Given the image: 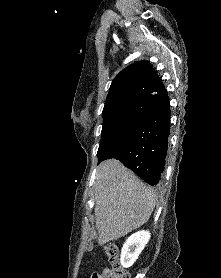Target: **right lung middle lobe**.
Listing matches in <instances>:
<instances>
[{
  "label": "right lung middle lobe",
  "instance_id": "right-lung-middle-lobe-1",
  "mask_svg": "<svg viewBox=\"0 0 221 278\" xmlns=\"http://www.w3.org/2000/svg\"><path fill=\"white\" fill-rule=\"evenodd\" d=\"M153 109L143 102L130 103L103 114V128L98 160L131 134Z\"/></svg>",
  "mask_w": 221,
  "mask_h": 278
}]
</instances>
